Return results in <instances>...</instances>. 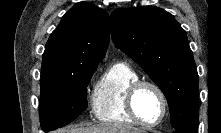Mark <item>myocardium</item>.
<instances>
[{"instance_id":"1","label":"myocardium","mask_w":221,"mask_h":133,"mask_svg":"<svg viewBox=\"0 0 221 133\" xmlns=\"http://www.w3.org/2000/svg\"><path fill=\"white\" fill-rule=\"evenodd\" d=\"M144 87L152 88L158 94V96L160 97L161 103H162L161 117L155 123H147L144 120H142V118L139 116V114L136 110V107H135L136 96H137L138 92ZM126 108H127L129 115L135 120L136 123H138L144 127H147V128H154V127L159 126L166 118V115L168 112V101H167L164 91L162 90V88L158 84L151 82V81L139 80V81L133 83L129 87V89L127 90Z\"/></svg>"}]
</instances>
